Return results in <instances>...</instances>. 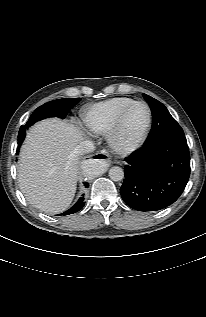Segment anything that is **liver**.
Listing matches in <instances>:
<instances>
[{"label":"liver","mask_w":206,"mask_h":317,"mask_svg":"<svg viewBox=\"0 0 206 317\" xmlns=\"http://www.w3.org/2000/svg\"><path fill=\"white\" fill-rule=\"evenodd\" d=\"M79 128L51 118L33 125L21 148L19 186L27 201L46 213L57 214L72 202L78 178Z\"/></svg>","instance_id":"1"}]
</instances>
